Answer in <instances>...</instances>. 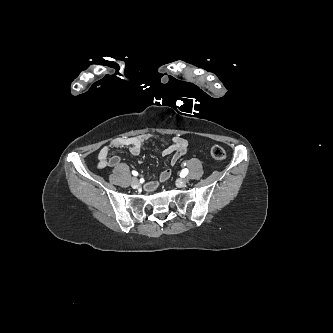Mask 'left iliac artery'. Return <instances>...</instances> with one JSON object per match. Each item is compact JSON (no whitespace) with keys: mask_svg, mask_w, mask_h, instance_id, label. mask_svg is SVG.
I'll list each match as a JSON object with an SVG mask.
<instances>
[{"mask_svg":"<svg viewBox=\"0 0 333 333\" xmlns=\"http://www.w3.org/2000/svg\"><path fill=\"white\" fill-rule=\"evenodd\" d=\"M188 174V169H183L182 170V172H181V175L183 176V177H185L186 175Z\"/></svg>","mask_w":333,"mask_h":333,"instance_id":"44dca946","label":"left iliac artery"}]
</instances>
